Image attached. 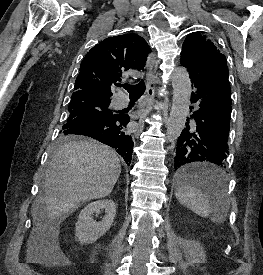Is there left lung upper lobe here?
<instances>
[{"label":"left lung upper lobe","mask_w":263,"mask_h":275,"mask_svg":"<svg viewBox=\"0 0 263 275\" xmlns=\"http://www.w3.org/2000/svg\"><path fill=\"white\" fill-rule=\"evenodd\" d=\"M181 64L200 71L228 70L226 57L215 44L199 32L190 33L183 43Z\"/></svg>","instance_id":"obj_1"}]
</instances>
